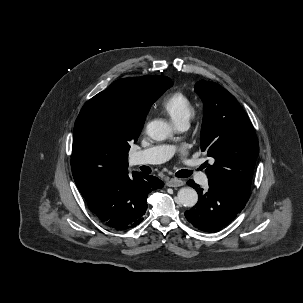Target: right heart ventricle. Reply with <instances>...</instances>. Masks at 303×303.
Instances as JSON below:
<instances>
[{
    "instance_id": "obj_1",
    "label": "right heart ventricle",
    "mask_w": 303,
    "mask_h": 303,
    "mask_svg": "<svg viewBox=\"0 0 303 303\" xmlns=\"http://www.w3.org/2000/svg\"><path fill=\"white\" fill-rule=\"evenodd\" d=\"M161 109L178 126L189 121L193 113V103L187 94L174 91L164 98Z\"/></svg>"
}]
</instances>
